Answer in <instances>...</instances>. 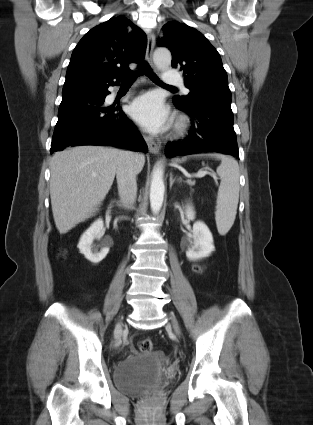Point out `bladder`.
<instances>
[{
  "instance_id": "obj_1",
  "label": "bladder",
  "mask_w": 313,
  "mask_h": 425,
  "mask_svg": "<svg viewBox=\"0 0 313 425\" xmlns=\"http://www.w3.org/2000/svg\"><path fill=\"white\" fill-rule=\"evenodd\" d=\"M164 362L162 352L141 353L125 358L115 368L116 388L132 396H141L160 388L164 383L161 373Z\"/></svg>"
}]
</instances>
